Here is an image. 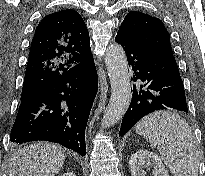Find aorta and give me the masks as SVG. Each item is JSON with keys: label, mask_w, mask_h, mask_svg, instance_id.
<instances>
[{"label": "aorta", "mask_w": 205, "mask_h": 176, "mask_svg": "<svg viewBox=\"0 0 205 176\" xmlns=\"http://www.w3.org/2000/svg\"><path fill=\"white\" fill-rule=\"evenodd\" d=\"M105 63L111 84V97L102 118V126L107 128L124 116L132 93L127 59L120 45L112 44L108 47Z\"/></svg>", "instance_id": "762f6f07"}]
</instances>
